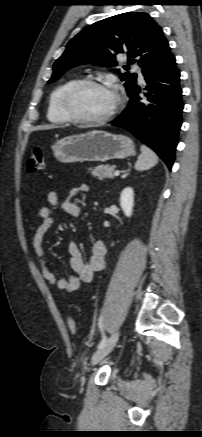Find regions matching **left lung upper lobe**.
I'll return each instance as SVG.
<instances>
[{
  "instance_id": "obj_1",
  "label": "left lung upper lobe",
  "mask_w": 202,
  "mask_h": 437,
  "mask_svg": "<svg viewBox=\"0 0 202 437\" xmlns=\"http://www.w3.org/2000/svg\"><path fill=\"white\" fill-rule=\"evenodd\" d=\"M168 46L161 27L142 12H127L115 15L79 32L72 38L63 55L53 65V75L48 81H56L65 71L81 64L117 66L116 55L127 53L128 64L138 58L142 72L157 59ZM127 70L129 67L124 66ZM125 81L128 96L136 87L137 75L119 73Z\"/></svg>"
}]
</instances>
